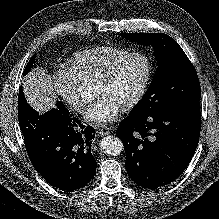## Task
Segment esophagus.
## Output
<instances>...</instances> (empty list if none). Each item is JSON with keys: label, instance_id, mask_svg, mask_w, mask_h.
Segmentation results:
<instances>
[{"label": "esophagus", "instance_id": "esophagus-1", "mask_svg": "<svg viewBox=\"0 0 219 219\" xmlns=\"http://www.w3.org/2000/svg\"><path fill=\"white\" fill-rule=\"evenodd\" d=\"M110 131H111V128L108 126H105V125H102L98 128V134L100 136L108 135V134H110Z\"/></svg>", "mask_w": 219, "mask_h": 219}]
</instances>
